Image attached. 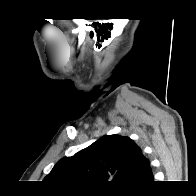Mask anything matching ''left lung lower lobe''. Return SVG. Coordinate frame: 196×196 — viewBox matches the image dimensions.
I'll return each instance as SVG.
<instances>
[{
    "instance_id": "obj_1",
    "label": "left lung lower lobe",
    "mask_w": 196,
    "mask_h": 196,
    "mask_svg": "<svg viewBox=\"0 0 196 196\" xmlns=\"http://www.w3.org/2000/svg\"><path fill=\"white\" fill-rule=\"evenodd\" d=\"M153 182V174H152V170H151V167L148 169V172L144 178V181L142 183V185L144 184H148V183H151Z\"/></svg>"
}]
</instances>
